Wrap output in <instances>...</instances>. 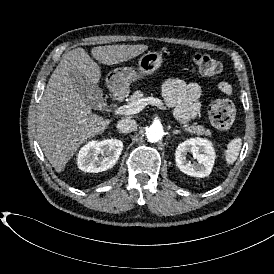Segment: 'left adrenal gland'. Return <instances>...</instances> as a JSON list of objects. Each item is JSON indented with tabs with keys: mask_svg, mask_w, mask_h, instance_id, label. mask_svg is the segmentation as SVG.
<instances>
[{
	"mask_svg": "<svg viewBox=\"0 0 274 274\" xmlns=\"http://www.w3.org/2000/svg\"><path fill=\"white\" fill-rule=\"evenodd\" d=\"M179 133H181V131H180V130H172V134H173V135H175V134H179Z\"/></svg>",
	"mask_w": 274,
	"mask_h": 274,
	"instance_id": "1",
	"label": "left adrenal gland"
}]
</instances>
